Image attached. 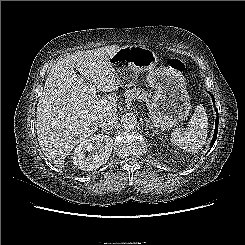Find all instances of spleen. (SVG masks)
<instances>
[{"mask_svg": "<svg viewBox=\"0 0 245 245\" xmlns=\"http://www.w3.org/2000/svg\"><path fill=\"white\" fill-rule=\"evenodd\" d=\"M207 128L208 118L205 109L197 105L187 126L183 129H175L171 133L170 140L174 145L188 152H196L206 142Z\"/></svg>", "mask_w": 245, "mask_h": 245, "instance_id": "1", "label": "spleen"}]
</instances>
